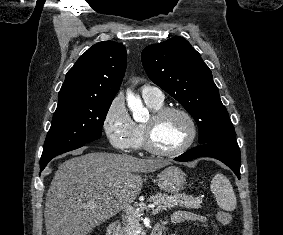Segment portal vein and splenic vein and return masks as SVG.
<instances>
[{
  "mask_svg": "<svg viewBox=\"0 0 283 235\" xmlns=\"http://www.w3.org/2000/svg\"><path fill=\"white\" fill-rule=\"evenodd\" d=\"M151 209H152L151 214L155 215V214H157L160 211L161 207L160 206H157V207L151 206ZM124 211L127 214V216L136 215V214L139 213L137 209H135L134 207H132L130 205L126 206L124 208Z\"/></svg>",
  "mask_w": 283,
  "mask_h": 235,
  "instance_id": "1",
  "label": "portal vein and splenic vein"
}]
</instances>
